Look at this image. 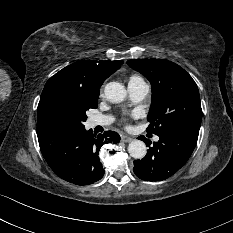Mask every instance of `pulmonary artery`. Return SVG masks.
Masks as SVG:
<instances>
[{
  "instance_id": "pulmonary-artery-1",
  "label": "pulmonary artery",
  "mask_w": 233,
  "mask_h": 233,
  "mask_svg": "<svg viewBox=\"0 0 233 233\" xmlns=\"http://www.w3.org/2000/svg\"><path fill=\"white\" fill-rule=\"evenodd\" d=\"M128 91L130 94V97L134 101H142L147 93H148V86L145 82H140V83H129L128 84ZM112 122V119L108 116H99V117H94L92 119V124L94 126H106L109 125ZM155 141L159 140V137H154Z\"/></svg>"
}]
</instances>
